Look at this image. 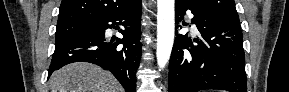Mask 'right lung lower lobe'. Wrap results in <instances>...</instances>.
<instances>
[{
    "label": "right lung lower lobe",
    "mask_w": 289,
    "mask_h": 92,
    "mask_svg": "<svg viewBox=\"0 0 289 92\" xmlns=\"http://www.w3.org/2000/svg\"><path fill=\"white\" fill-rule=\"evenodd\" d=\"M141 10L142 0H136L129 8L93 22L86 32L55 43L48 78L64 65L84 61L109 70L126 92H135L136 70L141 58ZM119 24L124 26L119 30L123 38H105V30L118 29ZM119 44H123V48L118 47Z\"/></svg>",
    "instance_id": "right-lung-lower-lobe-1"
}]
</instances>
